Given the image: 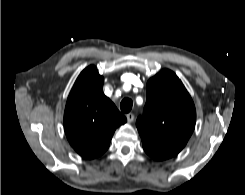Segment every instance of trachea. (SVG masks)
Listing matches in <instances>:
<instances>
[{
  "mask_svg": "<svg viewBox=\"0 0 245 195\" xmlns=\"http://www.w3.org/2000/svg\"><path fill=\"white\" fill-rule=\"evenodd\" d=\"M132 105H133V102L131 99L129 98H124L121 103H120V108H121V111L124 112V113H128L130 112V110L132 109Z\"/></svg>",
  "mask_w": 245,
  "mask_h": 195,
  "instance_id": "trachea-1",
  "label": "trachea"
}]
</instances>
